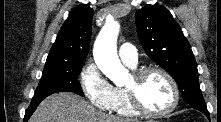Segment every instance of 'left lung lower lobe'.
I'll return each mask as SVG.
<instances>
[{"instance_id": "1", "label": "left lung lower lobe", "mask_w": 221, "mask_h": 122, "mask_svg": "<svg viewBox=\"0 0 221 122\" xmlns=\"http://www.w3.org/2000/svg\"><path fill=\"white\" fill-rule=\"evenodd\" d=\"M194 109H197L199 111H202L207 118H209V112L208 110L206 109V105H201V106H193Z\"/></svg>"}]
</instances>
